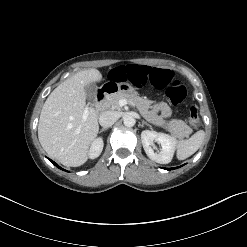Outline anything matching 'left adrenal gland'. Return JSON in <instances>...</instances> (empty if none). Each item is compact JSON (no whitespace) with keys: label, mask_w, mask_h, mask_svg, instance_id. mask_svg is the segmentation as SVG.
<instances>
[{"label":"left adrenal gland","mask_w":247,"mask_h":247,"mask_svg":"<svg viewBox=\"0 0 247 247\" xmlns=\"http://www.w3.org/2000/svg\"><path fill=\"white\" fill-rule=\"evenodd\" d=\"M144 124L147 125V126L150 127V128L152 127L150 124H148V123L145 122V121L142 122V125H144Z\"/></svg>","instance_id":"left-adrenal-gland-1"}]
</instances>
